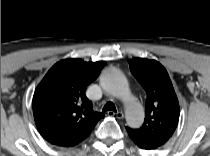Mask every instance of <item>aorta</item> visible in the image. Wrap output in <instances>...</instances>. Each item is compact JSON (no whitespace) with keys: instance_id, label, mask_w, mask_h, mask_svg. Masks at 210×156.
Wrapping results in <instances>:
<instances>
[{"instance_id":"aorta-1","label":"aorta","mask_w":210,"mask_h":156,"mask_svg":"<svg viewBox=\"0 0 210 156\" xmlns=\"http://www.w3.org/2000/svg\"><path fill=\"white\" fill-rule=\"evenodd\" d=\"M111 84L125 101L129 120H142L144 117L143 109L135 102L134 98L131 97L127 83L122 78L115 77L114 79L112 78Z\"/></svg>"}]
</instances>
